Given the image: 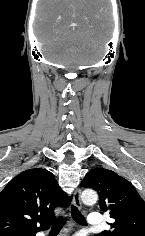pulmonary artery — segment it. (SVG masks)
Instances as JSON below:
<instances>
[{
    "label": "pulmonary artery",
    "mask_w": 145,
    "mask_h": 236,
    "mask_svg": "<svg viewBox=\"0 0 145 236\" xmlns=\"http://www.w3.org/2000/svg\"><path fill=\"white\" fill-rule=\"evenodd\" d=\"M88 224L91 227H101L104 224V220H103L101 214H98V213L89 214Z\"/></svg>",
    "instance_id": "obj_1"
}]
</instances>
